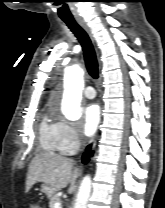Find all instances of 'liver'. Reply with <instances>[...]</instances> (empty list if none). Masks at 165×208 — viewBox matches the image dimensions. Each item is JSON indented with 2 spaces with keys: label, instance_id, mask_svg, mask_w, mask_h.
<instances>
[{
  "label": "liver",
  "instance_id": "1",
  "mask_svg": "<svg viewBox=\"0 0 165 208\" xmlns=\"http://www.w3.org/2000/svg\"><path fill=\"white\" fill-rule=\"evenodd\" d=\"M79 171L74 167L73 160L57 154L39 153L31 161L26 180V192L37 182H43L57 190L67 187L72 194Z\"/></svg>",
  "mask_w": 165,
  "mask_h": 208
}]
</instances>
